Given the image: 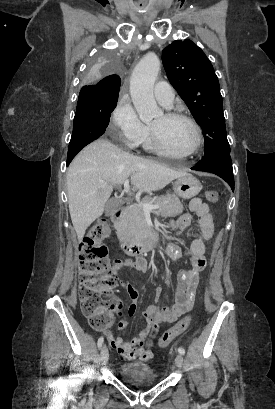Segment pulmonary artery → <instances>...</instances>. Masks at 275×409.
Wrapping results in <instances>:
<instances>
[{"mask_svg":"<svg viewBox=\"0 0 275 409\" xmlns=\"http://www.w3.org/2000/svg\"><path fill=\"white\" fill-rule=\"evenodd\" d=\"M174 87L172 85H168V81L166 79H161L159 81L158 89H155V97L160 105L169 109L172 107V101L174 97Z\"/></svg>","mask_w":275,"mask_h":409,"instance_id":"pulmonary-artery-1","label":"pulmonary artery"}]
</instances>
